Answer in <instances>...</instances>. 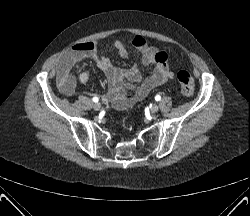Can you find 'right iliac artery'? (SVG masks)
I'll return each instance as SVG.
<instances>
[{"mask_svg": "<svg viewBox=\"0 0 250 216\" xmlns=\"http://www.w3.org/2000/svg\"><path fill=\"white\" fill-rule=\"evenodd\" d=\"M92 100H93L94 102H98V101H99L98 97H93Z\"/></svg>", "mask_w": 250, "mask_h": 216, "instance_id": "right-iliac-artery-1", "label": "right iliac artery"}]
</instances>
